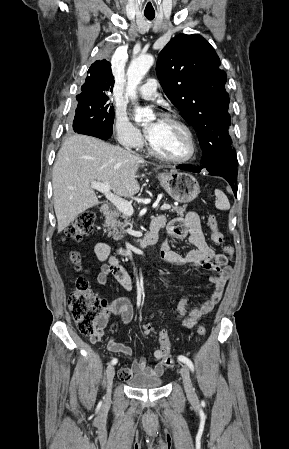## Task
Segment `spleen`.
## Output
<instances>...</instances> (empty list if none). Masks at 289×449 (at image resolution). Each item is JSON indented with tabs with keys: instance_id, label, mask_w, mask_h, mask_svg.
Returning <instances> with one entry per match:
<instances>
[{
	"instance_id": "obj_1",
	"label": "spleen",
	"mask_w": 289,
	"mask_h": 449,
	"mask_svg": "<svg viewBox=\"0 0 289 449\" xmlns=\"http://www.w3.org/2000/svg\"><path fill=\"white\" fill-rule=\"evenodd\" d=\"M216 203L215 206L219 210L230 209V203L227 196L219 189H215Z\"/></svg>"
}]
</instances>
